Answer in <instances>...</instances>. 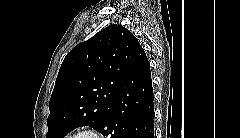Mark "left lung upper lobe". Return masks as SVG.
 Masks as SVG:
<instances>
[{
  "label": "left lung upper lobe",
  "instance_id": "1",
  "mask_svg": "<svg viewBox=\"0 0 240 138\" xmlns=\"http://www.w3.org/2000/svg\"><path fill=\"white\" fill-rule=\"evenodd\" d=\"M141 45L120 25H110L65 57L50 98L47 138H63L85 125L98 129Z\"/></svg>",
  "mask_w": 240,
  "mask_h": 138
}]
</instances>
